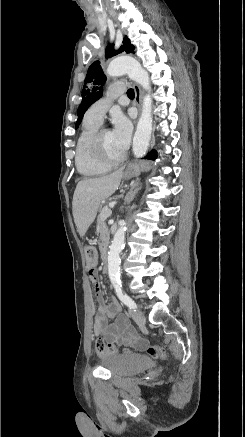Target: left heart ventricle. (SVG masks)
I'll return each instance as SVG.
<instances>
[{"instance_id": "b2bd125f", "label": "left heart ventricle", "mask_w": 245, "mask_h": 437, "mask_svg": "<svg viewBox=\"0 0 245 437\" xmlns=\"http://www.w3.org/2000/svg\"><path fill=\"white\" fill-rule=\"evenodd\" d=\"M102 144H103L105 152L109 156H111L113 158H117V157H119V156H121L123 154V152L120 151L117 148V146L115 145L112 133L109 130H104L103 131V134H102Z\"/></svg>"}]
</instances>
